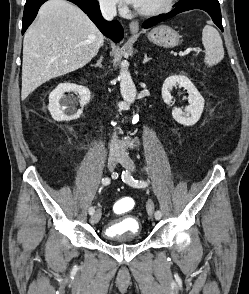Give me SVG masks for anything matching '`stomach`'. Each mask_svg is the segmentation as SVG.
<instances>
[{
  "label": "stomach",
  "instance_id": "stomach-1",
  "mask_svg": "<svg viewBox=\"0 0 249 294\" xmlns=\"http://www.w3.org/2000/svg\"><path fill=\"white\" fill-rule=\"evenodd\" d=\"M148 38L153 43L166 48L175 47L180 41L178 32L167 25H160L152 29Z\"/></svg>",
  "mask_w": 249,
  "mask_h": 294
}]
</instances>
